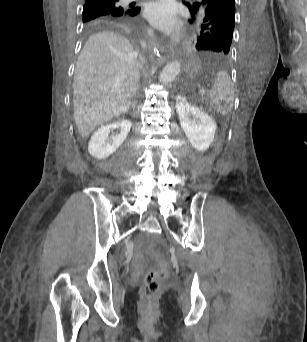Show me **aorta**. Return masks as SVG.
<instances>
[{"label": "aorta", "mask_w": 307, "mask_h": 342, "mask_svg": "<svg viewBox=\"0 0 307 342\" xmlns=\"http://www.w3.org/2000/svg\"><path fill=\"white\" fill-rule=\"evenodd\" d=\"M179 72H180L179 62H172V64H167V66L163 68L159 76V82H161V84H164L165 86V84H169V82H172V80H175Z\"/></svg>", "instance_id": "obj_1"}]
</instances>
